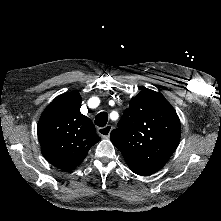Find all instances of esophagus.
Instances as JSON below:
<instances>
[{
  "mask_svg": "<svg viewBox=\"0 0 221 221\" xmlns=\"http://www.w3.org/2000/svg\"><path fill=\"white\" fill-rule=\"evenodd\" d=\"M112 125H106L104 127H100L97 129V133L104 139H108L110 137V133L112 131Z\"/></svg>",
  "mask_w": 221,
  "mask_h": 221,
  "instance_id": "34e87169",
  "label": "esophagus"
}]
</instances>
